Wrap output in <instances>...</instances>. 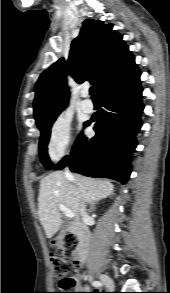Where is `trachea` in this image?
<instances>
[{
    "instance_id": "1",
    "label": "trachea",
    "mask_w": 170,
    "mask_h": 293,
    "mask_svg": "<svg viewBox=\"0 0 170 293\" xmlns=\"http://www.w3.org/2000/svg\"><path fill=\"white\" fill-rule=\"evenodd\" d=\"M94 93H95L94 88L91 87V88H90V95L92 96V98H95Z\"/></svg>"
}]
</instances>
